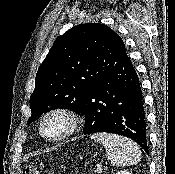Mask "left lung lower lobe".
Returning a JSON list of instances; mask_svg holds the SVG:
<instances>
[{
  "instance_id": "1",
  "label": "left lung lower lobe",
  "mask_w": 175,
  "mask_h": 174,
  "mask_svg": "<svg viewBox=\"0 0 175 174\" xmlns=\"http://www.w3.org/2000/svg\"><path fill=\"white\" fill-rule=\"evenodd\" d=\"M84 134L107 132L131 138L148 154L146 117L138 75L124 51L85 98Z\"/></svg>"
}]
</instances>
